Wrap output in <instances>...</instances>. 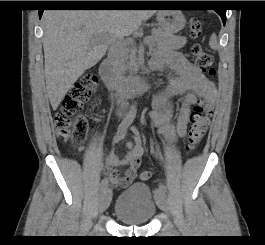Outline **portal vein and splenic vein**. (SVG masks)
Wrapping results in <instances>:
<instances>
[{
	"label": "portal vein and splenic vein",
	"instance_id": "1",
	"mask_svg": "<svg viewBox=\"0 0 265 245\" xmlns=\"http://www.w3.org/2000/svg\"><path fill=\"white\" fill-rule=\"evenodd\" d=\"M150 42V39L149 38H145L144 39V43H149Z\"/></svg>",
	"mask_w": 265,
	"mask_h": 245
}]
</instances>
